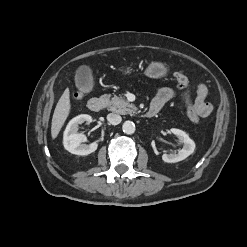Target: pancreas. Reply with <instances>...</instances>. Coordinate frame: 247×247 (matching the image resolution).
<instances>
[{
	"label": "pancreas",
	"mask_w": 247,
	"mask_h": 247,
	"mask_svg": "<svg viewBox=\"0 0 247 247\" xmlns=\"http://www.w3.org/2000/svg\"><path fill=\"white\" fill-rule=\"evenodd\" d=\"M109 110L119 114H130L136 110V107L126 101L123 97L114 96L109 100Z\"/></svg>",
	"instance_id": "obj_1"
}]
</instances>
